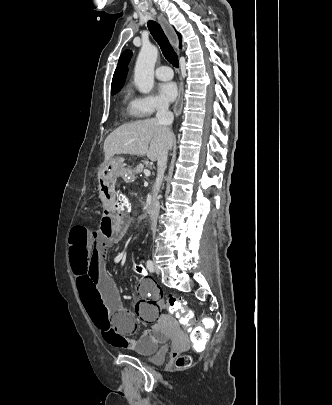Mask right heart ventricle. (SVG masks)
Here are the masks:
<instances>
[{"label":"right heart ventricle","mask_w":332,"mask_h":405,"mask_svg":"<svg viewBox=\"0 0 332 405\" xmlns=\"http://www.w3.org/2000/svg\"><path fill=\"white\" fill-rule=\"evenodd\" d=\"M123 114L128 120H135L139 116L135 107V98L132 96L129 89H126L122 98Z\"/></svg>","instance_id":"1"}]
</instances>
